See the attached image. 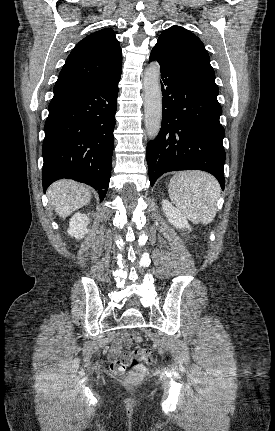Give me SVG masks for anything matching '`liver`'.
<instances>
[{"instance_id": "1", "label": "liver", "mask_w": 275, "mask_h": 431, "mask_svg": "<svg viewBox=\"0 0 275 431\" xmlns=\"http://www.w3.org/2000/svg\"><path fill=\"white\" fill-rule=\"evenodd\" d=\"M47 195L49 203L62 218L85 206L91 199L89 188L73 180L56 181L48 188Z\"/></svg>"}]
</instances>
